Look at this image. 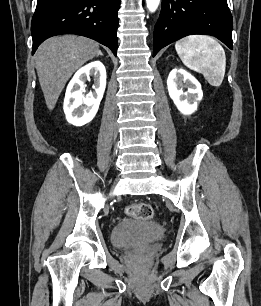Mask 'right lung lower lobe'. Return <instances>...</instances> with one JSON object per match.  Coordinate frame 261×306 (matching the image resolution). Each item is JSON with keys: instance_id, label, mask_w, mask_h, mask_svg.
Masks as SVG:
<instances>
[{"instance_id": "98d812e1", "label": "right lung lower lobe", "mask_w": 261, "mask_h": 306, "mask_svg": "<svg viewBox=\"0 0 261 306\" xmlns=\"http://www.w3.org/2000/svg\"><path fill=\"white\" fill-rule=\"evenodd\" d=\"M120 0H37L31 22L32 55L47 38L78 34L109 47L117 55Z\"/></svg>"}]
</instances>
